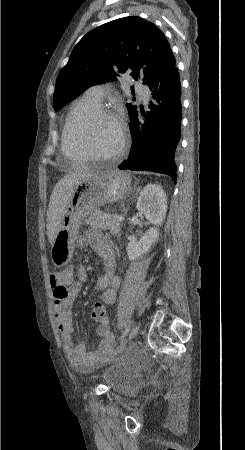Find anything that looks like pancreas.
Here are the masks:
<instances>
[{"label": "pancreas", "instance_id": "1", "mask_svg": "<svg viewBox=\"0 0 245 450\" xmlns=\"http://www.w3.org/2000/svg\"><path fill=\"white\" fill-rule=\"evenodd\" d=\"M85 223L90 225L92 228L109 230L113 235L119 234L120 232L121 222L116 221L113 218V215H105L96 211L91 214Z\"/></svg>", "mask_w": 245, "mask_h": 450}]
</instances>
